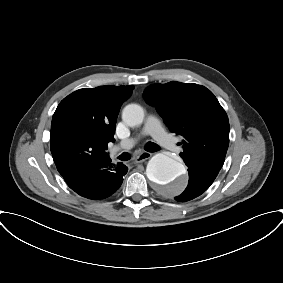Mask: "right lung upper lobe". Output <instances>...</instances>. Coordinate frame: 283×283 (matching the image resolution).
<instances>
[{
    "label": "right lung upper lobe",
    "mask_w": 283,
    "mask_h": 283,
    "mask_svg": "<svg viewBox=\"0 0 283 283\" xmlns=\"http://www.w3.org/2000/svg\"><path fill=\"white\" fill-rule=\"evenodd\" d=\"M133 88L132 85L85 88L60 102L53 115L50 140L53 160L63 177L108 156L105 150L109 142H114L120 107Z\"/></svg>",
    "instance_id": "1"
}]
</instances>
